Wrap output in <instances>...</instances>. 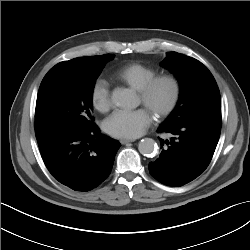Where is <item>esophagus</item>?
Listing matches in <instances>:
<instances>
[{
  "label": "esophagus",
  "instance_id": "obj_1",
  "mask_svg": "<svg viewBox=\"0 0 250 250\" xmlns=\"http://www.w3.org/2000/svg\"><path fill=\"white\" fill-rule=\"evenodd\" d=\"M135 140H132V139H121L120 140V143L121 144H128V143H131V142H134Z\"/></svg>",
  "mask_w": 250,
  "mask_h": 250
}]
</instances>
